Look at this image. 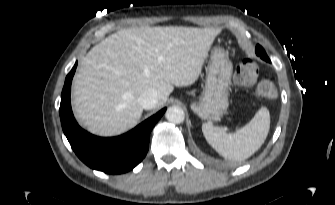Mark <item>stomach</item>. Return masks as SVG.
<instances>
[{"label": "stomach", "instance_id": "obj_1", "mask_svg": "<svg viewBox=\"0 0 335 205\" xmlns=\"http://www.w3.org/2000/svg\"><path fill=\"white\" fill-rule=\"evenodd\" d=\"M233 66L228 53L221 47L211 49L210 62L206 71V85L199 101L190 107L200 118L211 121L220 120L229 106L228 96Z\"/></svg>", "mask_w": 335, "mask_h": 205}]
</instances>
